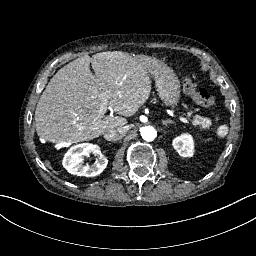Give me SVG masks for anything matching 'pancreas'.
Here are the masks:
<instances>
[{"label":"pancreas","mask_w":256,"mask_h":256,"mask_svg":"<svg viewBox=\"0 0 256 256\" xmlns=\"http://www.w3.org/2000/svg\"><path fill=\"white\" fill-rule=\"evenodd\" d=\"M211 123V120L207 119V117H197L194 124L200 125V129H208Z\"/></svg>","instance_id":"obj_1"}]
</instances>
